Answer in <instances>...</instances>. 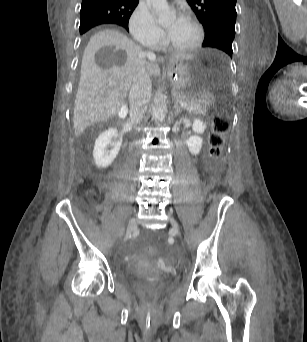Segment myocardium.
Returning <instances> with one entry per match:
<instances>
[{
    "instance_id": "myocardium-1",
    "label": "myocardium",
    "mask_w": 307,
    "mask_h": 342,
    "mask_svg": "<svg viewBox=\"0 0 307 342\" xmlns=\"http://www.w3.org/2000/svg\"><path fill=\"white\" fill-rule=\"evenodd\" d=\"M183 22L189 23L194 28L196 32V39L189 47L181 50H173L169 48L167 42H165L162 48L164 51L173 55H186L193 53L203 45L205 41V30L203 25L196 18L193 17H186L183 19Z\"/></svg>"
}]
</instances>
